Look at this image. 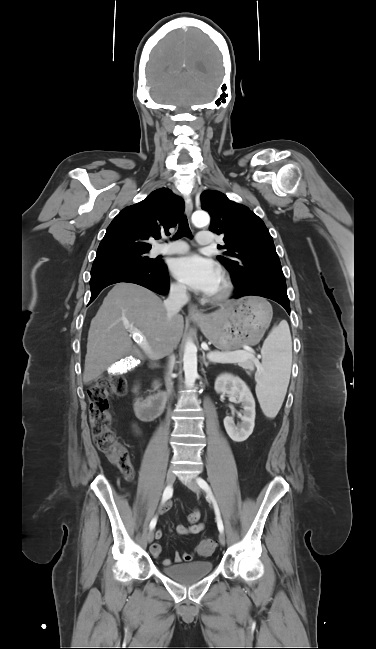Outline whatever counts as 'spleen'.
<instances>
[{
	"mask_svg": "<svg viewBox=\"0 0 376 649\" xmlns=\"http://www.w3.org/2000/svg\"><path fill=\"white\" fill-rule=\"evenodd\" d=\"M292 365V340L283 320L272 329L262 347V364L256 373V395L264 414L274 418L285 398Z\"/></svg>",
	"mask_w": 376,
	"mask_h": 649,
	"instance_id": "spleen-1",
	"label": "spleen"
}]
</instances>
